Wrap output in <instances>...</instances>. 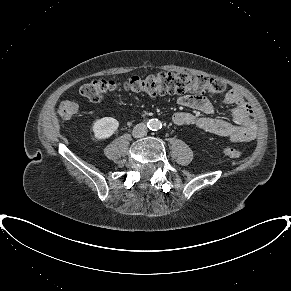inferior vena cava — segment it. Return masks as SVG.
I'll use <instances>...</instances> for the list:
<instances>
[{"label":"inferior vena cava","instance_id":"602c4592","mask_svg":"<svg viewBox=\"0 0 291 291\" xmlns=\"http://www.w3.org/2000/svg\"><path fill=\"white\" fill-rule=\"evenodd\" d=\"M133 136L135 138H141L146 136L147 134V126L144 123L137 124L133 129Z\"/></svg>","mask_w":291,"mask_h":291}]
</instances>
